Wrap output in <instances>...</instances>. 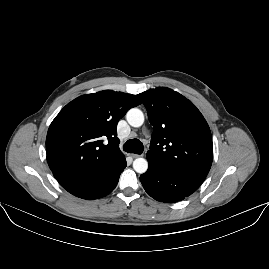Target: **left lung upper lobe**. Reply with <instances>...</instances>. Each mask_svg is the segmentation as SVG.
<instances>
[{"instance_id":"1","label":"left lung upper lobe","mask_w":269,"mask_h":269,"mask_svg":"<svg viewBox=\"0 0 269 269\" xmlns=\"http://www.w3.org/2000/svg\"><path fill=\"white\" fill-rule=\"evenodd\" d=\"M137 97L154 127L148 162L205 178L213 160V144L210 128L196 106L166 87L147 90Z\"/></svg>"}]
</instances>
